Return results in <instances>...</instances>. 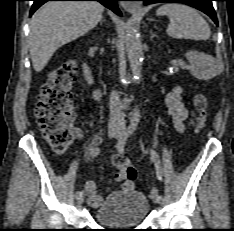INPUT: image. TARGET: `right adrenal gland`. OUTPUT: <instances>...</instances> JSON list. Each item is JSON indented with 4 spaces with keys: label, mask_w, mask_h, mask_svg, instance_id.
<instances>
[{
    "label": "right adrenal gland",
    "mask_w": 234,
    "mask_h": 231,
    "mask_svg": "<svg viewBox=\"0 0 234 231\" xmlns=\"http://www.w3.org/2000/svg\"><path fill=\"white\" fill-rule=\"evenodd\" d=\"M103 22H105V20H104V19L100 21V25H102V24H103Z\"/></svg>",
    "instance_id": "obj_1"
}]
</instances>
